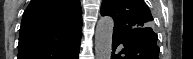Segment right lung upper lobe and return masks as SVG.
Instances as JSON below:
<instances>
[{
	"mask_svg": "<svg viewBox=\"0 0 193 59\" xmlns=\"http://www.w3.org/2000/svg\"><path fill=\"white\" fill-rule=\"evenodd\" d=\"M79 0H32L20 27L18 59L53 55L81 38Z\"/></svg>",
	"mask_w": 193,
	"mask_h": 59,
	"instance_id": "1",
	"label": "right lung upper lobe"
}]
</instances>
